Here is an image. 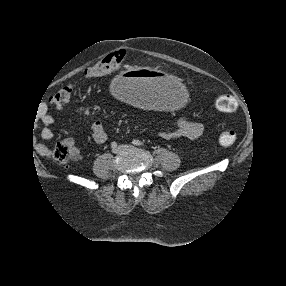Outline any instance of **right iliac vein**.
<instances>
[{
    "instance_id": "right-iliac-vein-1",
    "label": "right iliac vein",
    "mask_w": 286,
    "mask_h": 286,
    "mask_svg": "<svg viewBox=\"0 0 286 286\" xmlns=\"http://www.w3.org/2000/svg\"><path fill=\"white\" fill-rule=\"evenodd\" d=\"M112 152H113V153H115V154H117V153H119V152H120V149H119V148H117V147H116V148H113V149H112Z\"/></svg>"
}]
</instances>
